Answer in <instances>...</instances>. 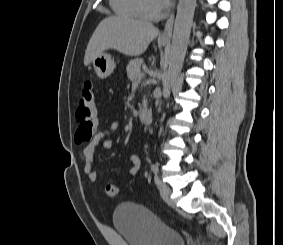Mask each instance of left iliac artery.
<instances>
[{
    "mask_svg": "<svg viewBox=\"0 0 283 245\" xmlns=\"http://www.w3.org/2000/svg\"><path fill=\"white\" fill-rule=\"evenodd\" d=\"M151 170H152V172H153L155 175H157V173H158V171H159L158 164H157V163H153V164L151 165Z\"/></svg>",
    "mask_w": 283,
    "mask_h": 245,
    "instance_id": "44dca946",
    "label": "left iliac artery"
}]
</instances>
